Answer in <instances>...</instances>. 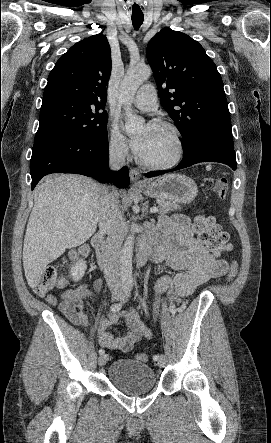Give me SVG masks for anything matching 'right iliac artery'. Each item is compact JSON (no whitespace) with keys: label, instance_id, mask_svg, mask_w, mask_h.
Instances as JSON below:
<instances>
[{"label":"right iliac artery","instance_id":"1","mask_svg":"<svg viewBox=\"0 0 271 443\" xmlns=\"http://www.w3.org/2000/svg\"><path fill=\"white\" fill-rule=\"evenodd\" d=\"M124 293H125V297H126V299L124 300V301H122V302H120V303H115V304H113L111 307H110V310L112 311V312H117V311H119L121 308H122V306L124 305V303L128 300V298L131 296V288H130V286H125L124 287ZM105 353V351L103 350V349H100L99 350V354L100 355H103Z\"/></svg>","mask_w":271,"mask_h":443}]
</instances>
